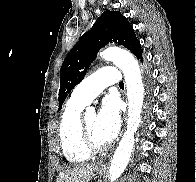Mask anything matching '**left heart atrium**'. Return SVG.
<instances>
[{
  "label": "left heart atrium",
  "mask_w": 196,
  "mask_h": 182,
  "mask_svg": "<svg viewBox=\"0 0 196 182\" xmlns=\"http://www.w3.org/2000/svg\"><path fill=\"white\" fill-rule=\"evenodd\" d=\"M120 126L119 101L114 96H108L103 100L101 109L97 115V133L105 143H108L117 136Z\"/></svg>",
  "instance_id": "1"
}]
</instances>
